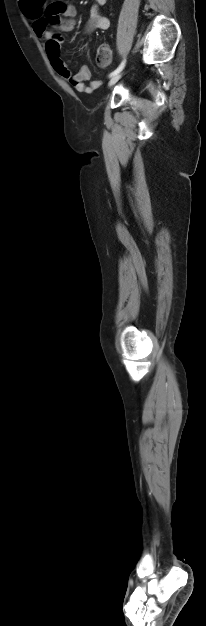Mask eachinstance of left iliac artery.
I'll use <instances>...</instances> for the list:
<instances>
[{
  "label": "left iliac artery",
  "instance_id": "44dca946",
  "mask_svg": "<svg viewBox=\"0 0 206 626\" xmlns=\"http://www.w3.org/2000/svg\"><path fill=\"white\" fill-rule=\"evenodd\" d=\"M125 63H126V59L124 58L123 61L120 63V65L113 72L109 74V77H112L118 74L119 72H121L125 66Z\"/></svg>",
  "mask_w": 206,
  "mask_h": 626
}]
</instances>
